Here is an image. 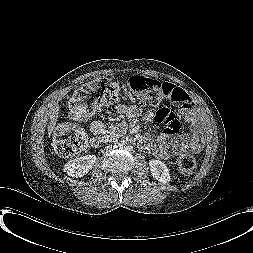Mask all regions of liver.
I'll return each instance as SVG.
<instances>
[{
  "label": "liver",
  "mask_w": 253,
  "mask_h": 253,
  "mask_svg": "<svg viewBox=\"0 0 253 253\" xmlns=\"http://www.w3.org/2000/svg\"><path fill=\"white\" fill-rule=\"evenodd\" d=\"M58 112H59V107L56 105L53 109L52 112L50 113V120L48 123V137H50V135L52 134L55 125L57 123V119H58Z\"/></svg>",
  "instance_id": "liver-1"
}]
</instances>
